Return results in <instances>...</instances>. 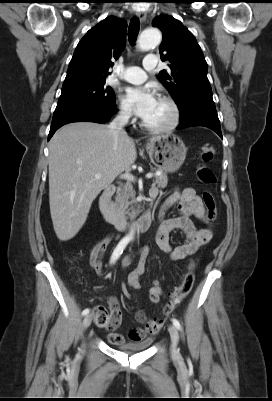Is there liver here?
<instances>
[{"instance_id":"1","label":"liver","mask_w":272,"mask_h":401,"mask_svg":"<svg viewBox=\"0 0 272 401\" xmlns=\"http://www.w3.org/2000/svg\"><path fill=\"white\" fill-rule=\"evenodd\" d=\"M136 158L133 139L120 137L115 146L108 125L76 122L54 134L49 143V204L59 240L79 232L93 200Z\"/></svg>"}]
</instances>
